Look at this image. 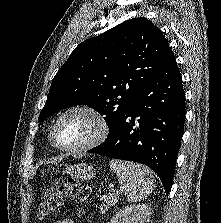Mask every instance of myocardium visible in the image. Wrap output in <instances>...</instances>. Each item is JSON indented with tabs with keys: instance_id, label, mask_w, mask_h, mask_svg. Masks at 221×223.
Wrapping results in <instances>:
<instances>
[{
	"instance_id": "myocardium-1",
	"label": "myocardium",
	"mask_w": 221,
	"mask_h": 223,
	"mask_svg": "<svg viewBox=\"0 0 221 223\" xmlns=\"http://www.w3.org/2000/svg\"><path fill=\"white\" fill-rule=\"evenodd\" d=\"M75 112H81L88 114L91 116L96 124H97V130L95 134L85 143L78 145V146H62L58 143L56 139V131L57 128L61 122V120L68 114L70 113H75ZM110 132V126L103 114H101L98 110L91 106L87 105H75L72 107H69L65 109L63 112L59 114V116L56 118L52 129L50 133V139L53 143V145L61 150V151H66V152H82V151H87L90 150L98 145H100L108 136Z\"/></svg>"
}]
</instances>
